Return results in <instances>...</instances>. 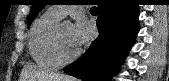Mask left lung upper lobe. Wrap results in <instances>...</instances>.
Instances as JSON below:
<instances>
[{
	"label": "left lung upper lobe",
	"mask_w": 169,
	"mask_h": 81,
	"mask_svg": "<svg viewBox=\"0 0 169 81\" xmlns=\"http://www.w3.org/2000/svg\"><path fill=\"white\" fill-rule=\"evenodd\" d=\"M45 1L46 0H32V9L28 18V26H30L39 11L46 5Z\"/></svg>",
	"instance_id": "1"
}]
</instances>
